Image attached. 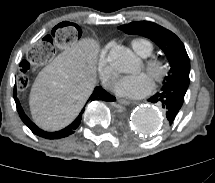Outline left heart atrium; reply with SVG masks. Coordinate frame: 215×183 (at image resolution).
<instances>
[{
  "instance_id": "left-heart-atrium-1",
  "label": "left heart atrium",
  "mask_w": 215,
  "mask_h": 183,
  "mask_svg": "<svg viewBox=\"0 0 215 183\" xmlns=\"http://www.w3.org/2000/svg\"><path fill=\"white\" fill-rule=\"evenodd\" d=\"M153 87L152 80L146 73L128 75L120 78L115 85V92L129 98L147 95Z\"/></svg>"
}]
</instances>
